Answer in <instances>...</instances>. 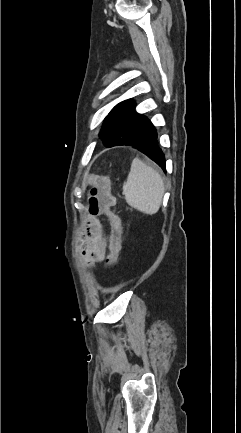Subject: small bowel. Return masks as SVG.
I'll use <instances>...</instances> for the list:
<instances>
[{"instance_id": "1", "label": "small bowel", "mask_w": 241, "mask_h": 433, "mask_svg": "<svg viewBox=\"0 0 241 433\" xmlns=\"http://www.w3.org/2000/svg\"><path fill=\"white\" fill-rule=\"evenodd\" d=\"M89 211L93 213L90 210ZM95 214V213H93ZM107 241L105 226L98 218L90 215L84 221V232L80 241V252L86 266L93 267L106 258Z\"/></svg>"}]
</instances>
